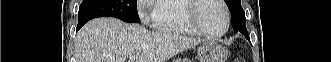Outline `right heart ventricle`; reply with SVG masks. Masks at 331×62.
Segmentation results:
<instances>
[{
	"instance_id": "1",
	"label": "right heart ventricle",
	"mask_w": 331,
	"mask_h": 62,
	"mask_svg": "<svg viewBox=\"0 0 331 62\" xmlns=\"http://www.w3.org/2000/svg\"><path fill=\"white\" fill-rule=\"evenodd\" d=\"M185 4V0H161L153 13L155 28L165 33L198 36L185 19Z\"/></svg>"
}]
</instances>
